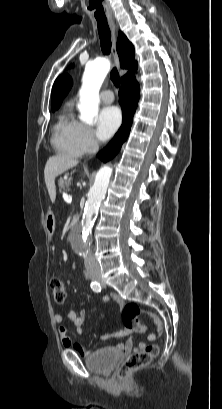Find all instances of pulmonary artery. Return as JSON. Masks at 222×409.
Returning <instances> with one entry per match:
<instances>
[{"label":"pulmonary artery","mask_w":222,"mask_h":409,"mask_svg":"<svg viewBox=\"0 0 222 409\" xmlns=\"http://www.w3.org/2000/svg\"><path fill=\"white\" fill-rule=\"evenodd\" d=\"M100 98L104 103H111L114 101V95L111 90H103L100 93Z\"/></svg>","instance_id":"e3ab8cb5"}]
</instances>
